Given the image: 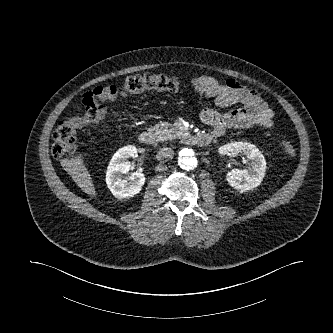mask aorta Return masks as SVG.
<instances>
[{
	"instance_id": "obj_1",
	"label": "aorta",
	"mask_w": 333,
	"mask_h": 333,
	"mask_svg": "<svg viewBox=\"0 0 333 333\" xmlns=\"http://www.w3.org/2000/svg\"><path fill=\"white\" fill-rule=\"evenodd\" d=\"M178 164L183 170L189 171L197 167L198 161L195 153L190 148H182L179 151Z\"/></svg>"
}]
</instances>
